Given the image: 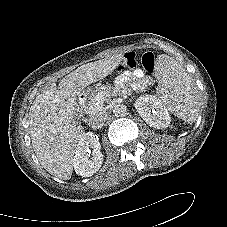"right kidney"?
Instances as JSON below:
<instances>
[{
    "instance_id": "right-kidney-1",
    "label": "right kidney",
    "mask_w": 227,
    "mask_h": 227,
    "mask_svg": "<svg viewBox=\"0 0 227 227\" xmlns=\"http://www.w3.org/2000/svg\"><path fill=\"white\" fill-rule=\"evenodd\" d=\"M90 148L93 150L91 151ZM100 149L98 137L92 132H88L82 137L73 158L76 174L82 177H90L100 169L104 159Z\"/></svg>"
}]
</instances>
